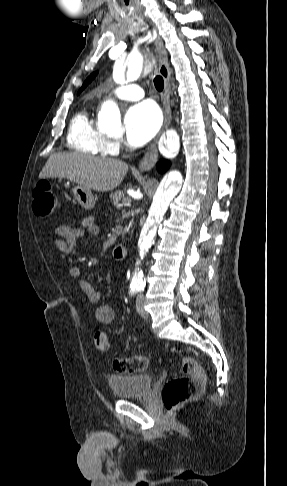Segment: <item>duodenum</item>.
Masks as SVG:
<instances>
[{
  "mask_svg": "<svg viewBox=\"0 0 287 486\" xmlns=\"http://www.w3.org/2000/svg\"><path fill=\"white\" fill-rule=\"evenodd\" d=\"M128 247L125 244H118L115 246L113 255L116 260H122L127 256Z\"/></svg>",
  "mask_w": 287,
  "mask_h": 486,
  "instance_id": "obj_1",
  "label": "duodenum"
}]
</instances>
